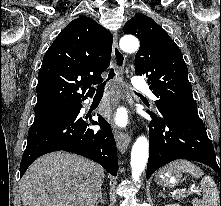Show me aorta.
Wrapping results in <instances>:
<instances>
[{
    "instance_id": "762f6f07",
    "label": "aorta",
    "mask_w": 221,
    "mask_h": 206,
    "mask_svg": "<svg viewBox=\"0 0 221 206\" xmlns=\"http://www.w3.org/2000/svg\"><path fill=\"white\" fill-rule=\"evenodd\" d=\"M120 48L124 52L132 53L139 49V41L135 36L125 35L120 39ZM149 156V143L145 136H139L133 144L131 151V169L133 181L139 182L144 172Z\"/></svg>"
}]
</instances>
